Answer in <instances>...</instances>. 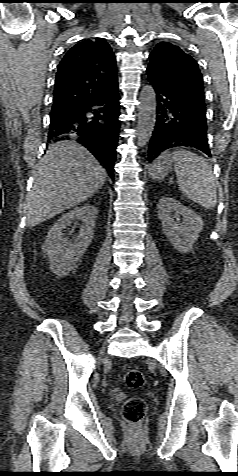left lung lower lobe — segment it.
I'll use <instances>...</instances> for the list:
<instances>
[{"mask_svg": "<svg viewBox=\"0 0 238 476\" xmlns=\"http://www.w3.org/2000/svg\"><path fill=\"white\" fill-rule=\"evenodd\" d=\"M156 95V122L148 149L152 161L176 147H191L211 157L205 104L187 100L148 75Z\"/></svg>", "mask_w": 238, "mask_h": 476, "instance_id": "0a47b994", "label": "left lung lower lobe"}]
</instances>
